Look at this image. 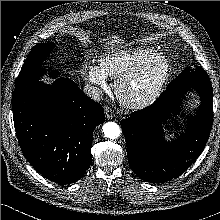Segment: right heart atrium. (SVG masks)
<instances>
[{
    "mask_svg": "<svg viewBox=\"0 0 220 220\" xmlns=\"http://www.w3.org/2000/svg\"><path fill=\"white\" fill-rule=\"evenodd\" d=\"M83 74L91 84L101 88L107 87V75L98 65L90 62L85 63L83 65Z\"/></svg>",
    "mask_w": 220,
    "mask_h": 220,
    "instance_id": "d8ad5b80",
    "label": "right heart atrium"
}]
</instances>
